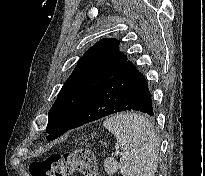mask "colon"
<instances>
[{
	"instance_id": "1",
	"label": "colon",
	"mask_w": 205,
	"mask_h": 176,
	"mask_svg": "<svg viewBox=\"0 0 205 176\" xmlns=\"http://www.w3.org/2000/svg\"><path fill=\"white\" fill-rule=\"evenodd\" d=\"M29 171L31 176H71L74 172H80L83 176H99L95 156L89 149L54 153L32 162Z\"/></svg>"
}]
</instances>
